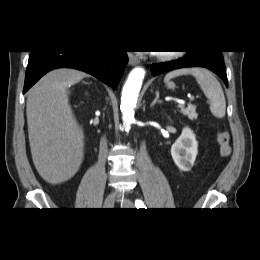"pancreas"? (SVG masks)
<instances>
[{
  "label": "pancreas",
  "instance_id": "pancreas-1",
  "mask_svg": "<svg viewBox=\"0 0 260 260\" xmlns=\"http://www.w3.org/2000/svg\"><path fill=\"white\" fill-rule=\"evenodd\" d=\"M180 112L184 115L187 116L190 120H195L198 117V114L196 113V107L194 105H188V107H179Z\"/></svg>",
  "mask_w": 260,
  "mask_h": 260
}]
</instances>
